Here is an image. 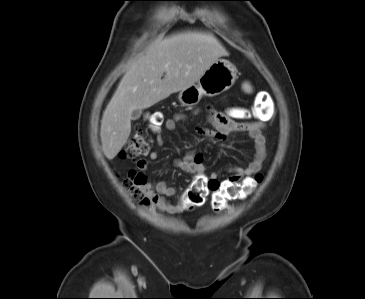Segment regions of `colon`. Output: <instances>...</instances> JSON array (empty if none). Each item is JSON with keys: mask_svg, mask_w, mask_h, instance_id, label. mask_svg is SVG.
<instances>
[{"mask_svg": "<svg viewBox=\"0 0 365 299\" xmlns=\"http://www.w3.org/2000/svg\"><path fill=\"white\" fill-rule=\"evenodd\" d=\"M249 114L243 107H233L227 113V116L233 119H241ZM267 115L266 110L262 111L260 117ZM162 115L159 112H153L147 115V124L151 129H157L162 124ZM149 145L140 130L136 131L130 138L125 148L121 151V157L134 160L148 152ZM262 176L255 175L246 177L241 181L230 183H193L184 193L181 207L184 210H192L205 203L208 195L211 194V205L215 211H221L225 208L228 201L242 199L249 196L257 185L261 182ZM147 185L146 176L136 170H130L122 181L123 188L128 192L130 197L143 206L151 204L150 197L145 192Z\"/></svg>", "mask_w": 365, "mask_h": 299, "instance_id": "colon-1", "label": "colon"}]
</instances>
